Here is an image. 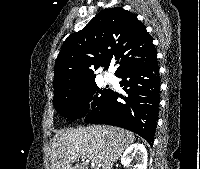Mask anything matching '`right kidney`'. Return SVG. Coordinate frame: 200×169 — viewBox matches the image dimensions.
Wrapping results in <instances>:
<instances>
[{
  "instance_id": "obj_1",
  "label": "right kidney",
  "mask_w": 200,
  "mask_h": 169,
  "mask_svg": "<svg viewBox=\"0 0 200 169\" xmlns=\"http://www.w3.org/2000/svg\"><path fill=\"white\" fill-rule=\"evenodd\" d=\"M133 158L136 162L133 169H147V150L143 144L130 145L121 157L122 165L128 167Z\"/></svg>"
}]
</instances>
